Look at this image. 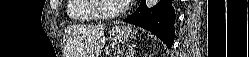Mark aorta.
Segmentation results:
<instances>
[{"instance_id": "aorta-1", "label": "aorta", "mask_w": 249, "mask_h": 57, "mask_svg": "<svg viewBox=\"0 0 249 57\" xmlns=\"http://www.w3.org/2000/svg\"><path fill=\"white\" fill-rule=\"evenodd\" d=\"M158 0H146V6L148 9L153 8L157 4Z\"/></svg>"}]
</instances>
